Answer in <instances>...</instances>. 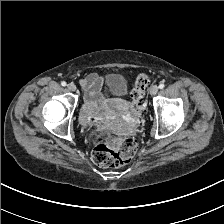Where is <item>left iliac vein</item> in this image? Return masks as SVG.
Segmentation results:
<instances>
[{
    "label": "left iliac vein",
    "mask_w": 224,
    "mask_h": 224,
    "mask_svg": "<svg viewBox=\"0 0 224 224\" xmlns=\"http://www.w3.org/2000/svg\"><path fill=\"white\" fill-rule=\"evenodd\" d=\"M158 90H159V87L157 85H152L151 88H150V94L152 96H154V95L157 94Z\"/></svg>",
    "instance_id": "4c4485c4"
}]
</instances>
